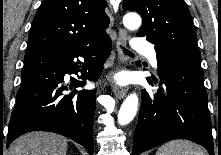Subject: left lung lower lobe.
<instances>
[{"instance_id":"0a47b994","label":"left lung lower lobe","mask_w":221,"mask_h":155,"mask_svg":"<svg viewBox=\"0 0 221 155\" xmlns=\"http://www.w3.org/2000/svg\"><path fill=\"white\" fill-rule=\"evenodd\" d=\"M156 52L160 88L142 90L133 155L172 139L192 140L214 155L200 57L172 50Z\"/></svg>"}]
</instances>
